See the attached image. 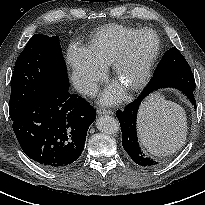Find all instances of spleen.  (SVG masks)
<instances>
[{
  "instance_id": "3e777b00",
  "label": "spleen",
  "mask_w": 205,
  "mask_h": 205,
  "mask_svg": "<svg viewBox=\"0 0 205 205\" xmlns=\"http://www.w3.org/2000/svg\"><path fill=\"white\" fill-rule=\"evenodd\" d=\"M182 107L161 97H151L138 113L139 138L147 150L167 156L179 150L186 141L187 122Z\"/></svg>"
}]
</instances>
